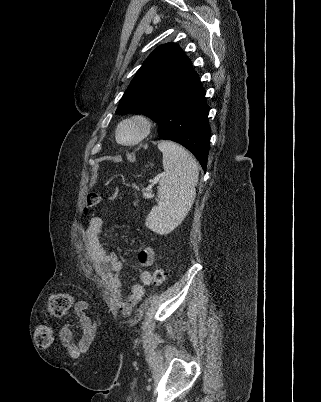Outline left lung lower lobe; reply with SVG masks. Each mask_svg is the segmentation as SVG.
Returning a JSON list of instances; mask_svg holds the SVG:
<instances>
[{
    "instance_id": "left-lung-lower-lobe-1",
    "label": "left lung lower lobe",
    "mask_w": 321,
    "mask_h": 402,
    "mask_svg": "<svg viewBox=\"0 0 321 402\" xmlns=\"http://www.w3.org/2000/svg\"><path fill=\"white\" fill-rule=\"evenodd\" d=\"M209 106L198 74L193 70L166 97L160 107L159 138L186 147L206 171L211 129Z\"/></svg>"
}]
</instances>
